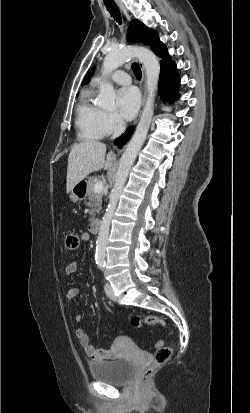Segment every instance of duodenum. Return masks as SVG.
Wrapping results in <instances>:
<instances>
[{"label":"duodenum","instance_id":"1","mask_svg":"<svg viewBox=\"0 0 250 413\" xmlns=\"http://www.w3.org/2000/svg\"><path fill=\"white\" fill-rule=\"evenodd\" d=\"M100 227H101V221L99 219H96L92 221L90 224V232L92 234H97L100 230Z\"/></svg>","mask_w":250,"mask_h":413}]
</instances>
